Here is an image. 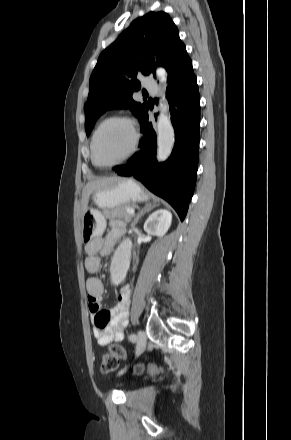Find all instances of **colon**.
<instances>
[{"mask_svg": "<svg viewBox=\"0 0 291 440\" xmlns=\"http://www.w3.org/2000/svg\"><path fill=\"white\" fill-rule=\"evenodd\" d=\"M110 319L108 316L101 318V324H109ZM126 357L125 349L117 343L112 344L109 349L102 355L100 367L104 373H111L116 370L118 360ZM133 373H139L141 371L140 364H135L132 369Z\"/></svg>", "mask_w": 291, "mask_h": 440, "instance_id": "obj_1", "label": "colon"}]
</instances>
